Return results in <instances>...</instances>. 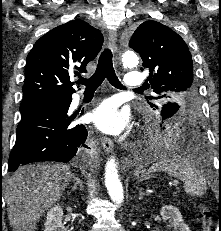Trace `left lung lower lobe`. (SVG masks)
I'll use <instances>...</instances> for the list:
<instances>
[{"label":"left lung lower lobe","mask_w":221,"mask_h":231,"mask_svg":"<svg viewBox=\"0 0 221 231\" xmlns=\"http://www.w3.org/2000/svg\"><path fill=\"white\" fill-rule=\"evenodd\" d=\"M169 138L178 145L185 146L188 152L204 153V134L201 119L197 114L190 116L188 125L181 132L172 131Z\"/></svg>","instance_id":"left-lung-lower-lobe-1"}]
</instances>
